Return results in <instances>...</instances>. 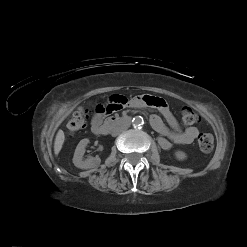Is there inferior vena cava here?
Listing matches in <instances>:
<instances>
[{
    "instance_id": "602c4592",
    "label": "inferior vena cava",
    "mask_w": 247,
    "mask_h": 247,
    "mask_svg": "<svg viewBox=\"0 0 247 247\" xmlns=\"http://www.w3.org/2000/svg\"><path fill=\"white\" fill-rule=\"evenodd\" d=\"M126 129H127L126 125L117 126L112 130L111 135L115 137L120 133H122L123 131H125Z\"/></svg>"
}]
</instances>
